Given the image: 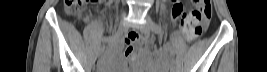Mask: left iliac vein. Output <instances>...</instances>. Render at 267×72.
<instances>
[{
	"label": "left iliac vein",
	"instance_id": "4c4485c4",
	"mask_svg": "<svg viewBox=\"0 0 267 72\" xmlns=\"http://www.w3.org/2000/svg\"><path fill=\"white\" fill-rule=\"evenodd\" d=\"M146 24H144L142 27H141V31L142 33L144 34H149L151 29H152V20L150 19L149 16L146 17ZM170 72H175V68L174 67H170Z\"/></svg>",
	"mask_w": 267,
	"mask_h": 72
}]
</instances>
